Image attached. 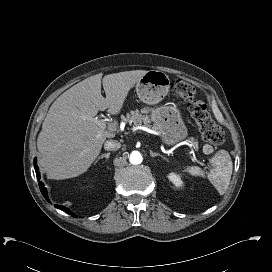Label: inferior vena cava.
I'll list each match as a JSON object with an SVG mask.
<instances>
[{"label": "inferior vena cava", "instance_id": "obj_1", "mask_svg": "<svg viewBox=\"0 0 272 272\" xmlns=\"http://www.w3.org/2000/svg\"><path fill=\"white\" fill-rule=\"evenodd\" d=\"M121 147L120 142L116 140H107L104 144V149L107 151H116Z\"/></svg>", "mask_w": 272, "mask_h": 272}]
</instances>
